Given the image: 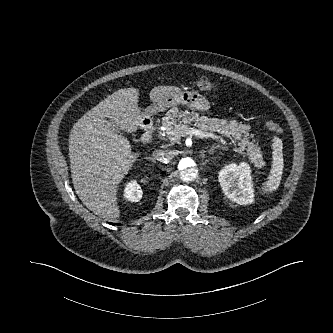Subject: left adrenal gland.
<instances>
[{"mask_svg":"<svg viewBox=\"0 0 333 333\" xmlns=\"http://www.w3.org/2000/svg\"><path fill=\"white\" fill-rule=\"evenodd\" d=\"M216 148L226 149V147L220 146V145L212 146L211 149L209 150V154H213V152Z\"/></svg>","mask_w":333,"mask_h":333,"instance_id":"a2214340","label":"left adrenal gland"}]
</instances>
